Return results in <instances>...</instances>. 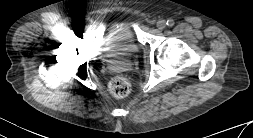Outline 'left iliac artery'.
<instances>
[{"instance_id":"obj_1","label":"left iliac artery","mask_w":253,"mask_h":138,"mask_svg":"<svg viewBox=\"0 0 253 138\" xmlns=\"http://www.w3.org/2000/svg\"><path fill=\"white\" fill-rule=\"evenodd\" d=\"M166 24H167V26L172 27L174 25V20L173 19H168Z\"/></svg>"}]
</instances>
